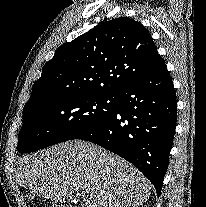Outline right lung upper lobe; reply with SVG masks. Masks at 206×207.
Instances as JSON below:
<instances>
[{
	"label": "right lung upper lobe",
	"instance_id": "right-lung-upper-lobe-1",
	"mask_svg": "<svg viewBox=\"0 0 206 207\" xmlns=\"http://www.w3.org/2000/svg\"><path fill=\"white\" fill-rule=\"evenodd\" d=\"M160 58L148 30L120 17L62 45L42 70L24 111L58 99L117 95Z\"/></svg>",
	"mask_w": 206,
	"mask_h": 207
}]
</instances>
